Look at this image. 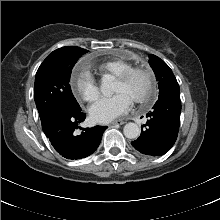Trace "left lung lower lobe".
<instances>
[{"label":"left lung lower lobe","instance_id":"left-lung-lower-lobe-1","mask_svg":"<svg viewBox=\"0 0 220 220\" xmlns=\"http://www.w3.org/2000/svg\"><path fill=\"white\" fill-rule=\"evenodd\" d=\"M181 112L180 95L159 98L151 112L147 113V123L141 126L140 137L131 142L139 152L161 156L175 143Z\"/></svg>","mask_w":220,"mask_h":220}]
</instances>
